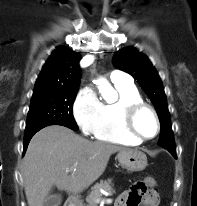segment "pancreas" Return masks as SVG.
Listing matches in <instances>:
<instances>
[{"instance_id": "pancreas-1", "label": "pancreas", "mask_w": 197, "mask_h": 206, "mask_svg": "<svg viewBox=\"0 0 197 206\" xmlns=\"http://www.w3.org/2000/svg\"><path fill=\"white\" fill-rule=\"evenodd\" d=\"M101 189L108 191L109 193H113L114 190L111 186V179L100 181V183H96L92 191L86 197V206H97L102 196L100 192Z\"/></svg>"}]
</instances>
